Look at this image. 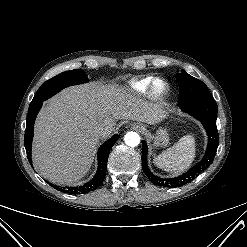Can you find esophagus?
Here are the masks:
<instances>
[{
  "label": "esophagus",
  "mask_w": 247,
  "mask_h": 247,
  "mask_svg": "<svg viewBox=\"0 0 247 247\" xmlns=\"http://www.w3.org/2000/svg\"><path fill=\"white\" fill-rule=\"evenodd\" d=\"M135 129L138 130V131H143L144 130V126L142 124H135Z\"/></svg>",
  "instance_id": "obj_1"
}]
</instances>
